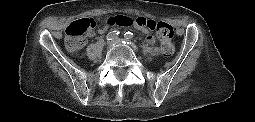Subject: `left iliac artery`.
I'll list each match as a JSON object with an SVG mask.
<instances>
[{"label": "left iliac artery", "instance_id": "44dca946", "mask_svg": "<svg viewBox=\"0 0 255 122\" xmlns=\"http://www.w3.org/2000/svg\"><path fill=\"white\" fill-rule=\"evenodd\" d=\"M125 39H132L133 38V33L132 32H127L124 34Z\"/></svg>", "mask_w": 255, "mask_h": 122}]
</instances>
